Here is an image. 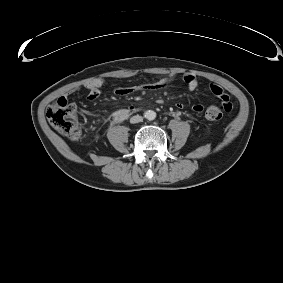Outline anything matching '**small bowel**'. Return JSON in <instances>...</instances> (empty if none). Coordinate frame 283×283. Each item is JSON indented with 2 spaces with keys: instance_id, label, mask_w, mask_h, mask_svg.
Listing matches in <instances>:
<instances>
[{
  "instance_id": "obj_1",
  "label": "small bowel",
  "mask_w": 283,
  "mask_h": 283,
  "mask_svg": "<svg viewBox=\"0 0 283 283\" xmlns=\"http://www.w3.org/2000/svg\"><path fill=\"white\" fill-rule=\"evenodd\" d=\"M176 75H169L166 77H161L157 81L149 84L144 85H135V86H127V87H117L115 89V93L119 96H131L135 93H147V92H157L164 89H167L170 87L175 80ZM182 80L184 84L186 85L187 89L189 91H193L198 87V79L194 74L186 73L182 76ZM104 85V80L101 78H96L87 84H85L84 88L88 92V99L89 100H95L100 97L102 93V87ZM211 92L218 97V99L221 102V105L223 108H228V105L230 104V110L232 108V103L230 101V97L228 94L218 85H211L210 87ZM177 111H180L183 108V105L181 103L176 104ZM136 108L133 106H130L127 108L128 112L135 111ZM192 110L195 113H201L204 110V106L201 104H195L192 107Z\"/></svg>"
}]
</instances>
